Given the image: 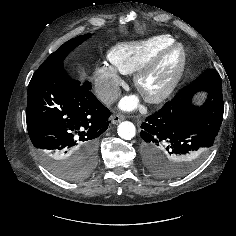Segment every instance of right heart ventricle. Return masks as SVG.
<instances>
[{"label":"right heart ventricle","instance_id":"1","mask_svg":"<svg viewBox=\"0 0 236 236\" xmlns=\"http://www.w3.org/2000/svg\"><path fill=\"white\" fill-rule=\"evenodd\" d=\"M172 43L173 39L168 35H155L139 41L118 44L109 50L107 57L118 72L129 75Z\"/></svg>","mask_w":236,"mask_h":236}]
</instances>
